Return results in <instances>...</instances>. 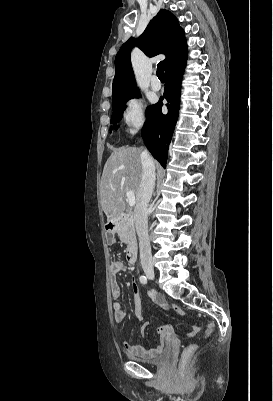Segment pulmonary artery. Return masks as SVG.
<instances>
[{"mask_svg": "<svg viewBox=\"0 0 273 401\" xmlns=\"http://www.w3.org/2000/svg\"><path fill=\"white\" fill-rule=\"evenodd\" d=\"M151 86H152V89H153L154 91H158V90L160 89V88H159L160 83H159V81H157V80L152 81Z\"/></svg>", "mask_w": 273, "mask_h": 401, "instance_id": "obj_1", "label": "pulmonary artery"}]
</instances>
